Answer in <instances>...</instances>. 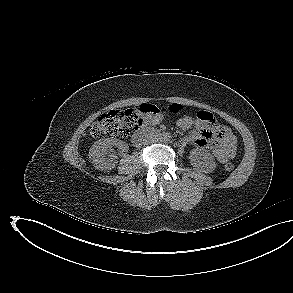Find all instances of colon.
<instances>
[{
  "label": "colon",
  "instance_id": "1",
  "mask_svg": "<svg viewBox=\"0 0 293 293\" xmlns=\"http://www.w3.org/2000/svg\"><path fill=\"white\" fill-rule=\"evenodd\" d=\"M171 113L181 111V106L173 104L169 107ZM198 116L206 121H212L213 117L205 112H198ZM143 122L142 113L139 109H116L111 110L99 117L91 126L90 135L95 138L105 136L127 137L133 130L141 126ZM225 171H232L234 165L226 163Z\"/></svg>",
  "mask_w": 293,
  "mask_h": 293
}]
</instances>
